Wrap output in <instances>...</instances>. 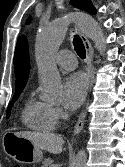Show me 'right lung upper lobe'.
Listing matches in <instances>:
<instances>
[{
    "instance_id": "1",
    "label": "right lung upper lobe",
    "mask_w": 125,
    "mask_h": 167,
    "mask_svg": "<svg viewBox=\"0 0 125 167\" xmlns=\"http://www.w3.org/2000/svg\"><path fill=\"white\" fill-rule=\"evenodd\" d=\"M14 70L16 76V88H24L30 71V59L27 40L23 36L17 41L14 54Z\"/></svg>"
}]
</instances>
